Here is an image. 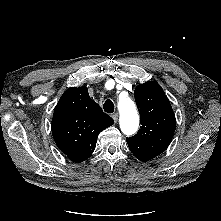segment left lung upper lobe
Instances as JSON below:
<instances>
[{"label":"left lung upper lobe","mask_w":221,"mask_h":221,"mask_svg":"<svg viewBox=\"0 0 221 221\" xmlns=\"http://www.w3.org/2000/svg\"><path fill=\"white\" fill-rule=\"evenodd\" d=\"M134 96L140 113L141 127L135 136L126 138V141L136 158L149 161L169 146L176 126L175 114L157 82L138 85Z\"/></svg>","instance_id":"left-lung-upper-lobe-1"}]
</instances>
